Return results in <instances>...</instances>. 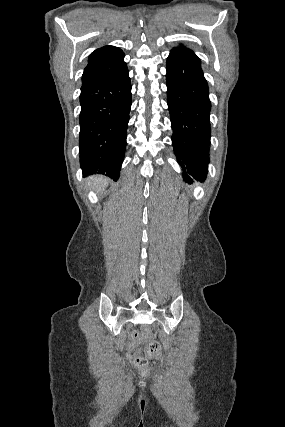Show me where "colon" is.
Instances as JSON below:
<instances>
[{
  "mask_svg": "<svg viewBox=\"0 0 285 427\" xmlns=\"http://www.w3.org/2000/svg\"><path fill=\"white\" fill-rule=\"evenodd\" d=\"M144 332H147V330L144 329ZM161 351H162L161 344L157 341H152L148 344L146 348V355L151 357L158 356L161 354ZM132 363L134 367L140 370L141 372L144 373L147 371V359L145 356L140 354L139 349L135 351L132 358Z\"/></svg>",
  "mask_w": 285,
  "mask_h": 427,
  "instance_id": "5ec220e1",
  "label": "colon"
}]
</instances>
